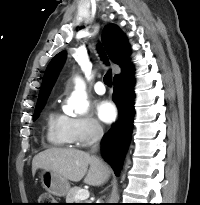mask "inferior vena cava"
<instances>
[{
	"instance_id": "1",
	"label": "inferior vena cava",
	"mask_w": 200,
	"mask_h": 205,
	"mask_svg": "<svg viewBox=\"0 0 200 205\" xmlns=\"http://www.w3.org/2000/svg\"><path fill=\"white\" fill-rule=\"evenodd\" d=\"M103 136V129L99 124H94L92 127V152H96L99 146V142Z\"/></svg>"
}]
</instances>
